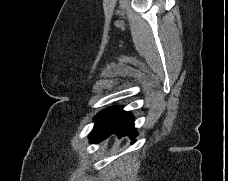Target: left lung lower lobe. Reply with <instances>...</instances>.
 I'll return each instance as SVG.
<instances>
[{
	"label": "left lung lower lobe",
	"mask_w": 228,
	"mask_h": 181,
	"mask_svg": "<svg viewBox=\"0 0 228 181\" xmlns=\"http://www.w3.org/2000/svg\"><path fill=\"white\" fill-rule=\"evenodd\" d=\"M112 134H116L118 137L127 134L130 139H132V142L136 141L134 138L138 135V133L134 127V118L129 112H127L121 122L115 126L93 129L89 135V139L91 143H99Z\"/></svg>",
	"instance_id": "left-lung-lower-lobe-1"
}]
</instances>
